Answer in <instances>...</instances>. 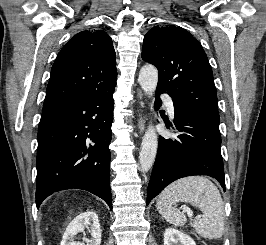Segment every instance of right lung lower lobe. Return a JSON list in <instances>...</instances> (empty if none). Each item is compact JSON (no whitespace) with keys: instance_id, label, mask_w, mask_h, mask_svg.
Segmentation results:
<instances>
[{"instance_id":"right-lung-lower-lobe-1","label":"right lung lower lobe","mask_w":266,"mask_h":245,"mask_svg":"<svg viewBox=\"0 0 266 245\" xmlns=\"http://www.w3.org/2000/svg\"><path fill=\"white\" fill-rule=\"evenodd\" d=\"M113 92L79 97L42 115L38 128L36 205L54 192L83 189L112 209Z\"/></svg>"}]
</instances>
